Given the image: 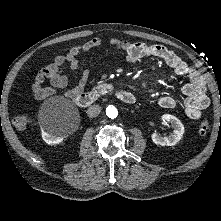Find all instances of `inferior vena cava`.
Segmentation results:
<instances>
[{
    "label": "inferior vena cava",
    "mask_w": 221,
    "mask_h": 221,
    "mask_svg": "<svg viewBox=\"0 0 221 221\" xmlns=\"http://www.w3.org/2000/svg\"><path fill=\"white\" fill-rule=\"evenodd\" d=\"M101 107L99 105H91L87 110V115L89 117H96L100 114Z\"/></svg>",
    "instance_id": "1"
}]
</instances>
